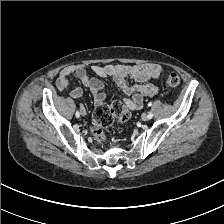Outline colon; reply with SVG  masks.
<instances>
[{
  "mask_svg": "<svg viewBox=\"0 0 224 224\" xmlns=\"http://www.w3.org/2000/svg\"><path fill=\"white\" fill-rule=\"evenodd\" d=\"M163 75L165 84L169 88H177L180 85V78L176 73L165 72ZM129 118L130 112L121 101H114L110 105L101 104L97 106L91 127L94 139L102 142L105 139L104 128L112 125L115 120L124 124L128 122Z\"/></svg>",
  "mask_w": 224,
  "mask_h": 224,
  "instance_id": "5ec220e1",
  "label": "colon"
}]
</instances>
